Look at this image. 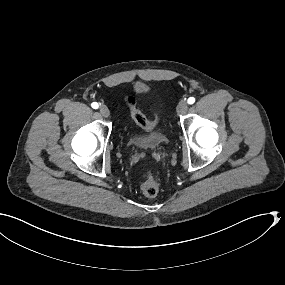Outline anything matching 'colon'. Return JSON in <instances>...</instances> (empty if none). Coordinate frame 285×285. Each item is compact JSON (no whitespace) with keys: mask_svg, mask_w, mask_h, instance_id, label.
Returning a JSON list of instances; mask_svg holds the SVG:
<instances>
[{"mask_svg":"<svg viewBox=\"0 0 285 285\" xmlns=\"http://www.w3.org/2000/svg\"><path fill=\"white\" fill-rule=\"evenodd\" d=\"M125 101L130 107L132 118L137 125L146 130H151L156 127L158 120L155 119L151 121L147 119L146 116L136 108L135 97L127 96L125 98ZM159 188L160 187L157 178L151 172H148L146 179L140 185L142 193L147 197H155L159 192Z\"/></svg>","mask_w":285,"mask_h":285,"instance_id":"colon-1","label":"colon"}]
</instances>
